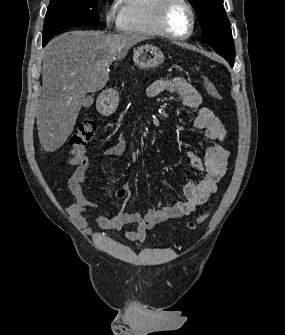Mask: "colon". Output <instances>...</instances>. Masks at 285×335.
I'll return each instance as SVG.
<instances>
[{
    "label": "colon",
    "mask_w": 285,
    "mask_h": 335,
    "mask_svg": "<svg viewBox=\"0 0 285 335\" xmlns=\"http://www.w3.org/2000/svg\"><path fill=\"white\" fill-rule=\"evenodd\" d=\"M201 82L206 92L214 99L221 100L222 97L214 84L204 75H200ZM97 130V125L92 120L82 122L70 138L69 163L72 165H84L87 160L86 145L92 140ZM208 213L200 215L188 223V228L196 229L202 224Z\"/></svg>",
    "instance_id": "obj_1"
}]
</instances>
